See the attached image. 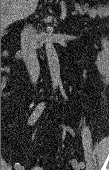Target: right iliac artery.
I'll return each mask as SVG.
<instances>
[{
  "instance_id": "right-iliac-artery-1",
  "label": "right iliac artery",
  "mask_w": 109,
  "mask_h": 170,
  "mask_svg": "<svg viewBox=\"0 0 109 170\" xmlns=\"http://www.w3.org/2000/svg\"><path fill=\"white\" fill-rule=\"evenodd\" d=\"M44 107H45L44 103H40L39 105H37V107L35 108V110L33 111V113L31 114V116L28 119V125H33L37 121V119L43 112ZM14 167L17 170L20 167V163H15Z\"/></svg>"
}]
</instances>
